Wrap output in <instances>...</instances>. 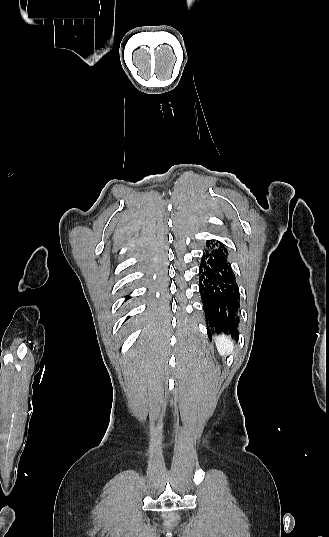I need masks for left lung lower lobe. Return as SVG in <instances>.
<instances>
[{"mask_svg":"<svg viewBox=\"0 0 329 537\" xmlns=\"http://www.w3.org/2000/svg\"><path fill=\"white\" fill-rule=\"evenodd\" d=\"M199 267V291L207 332L231 334L238 338L240 295L234 272L221 243L207 241Z\"/></svg>","mask_w":329,"mask_h":537,"instance_id":"obj_1","label":"left lung lower lobe"}]
</instances>
